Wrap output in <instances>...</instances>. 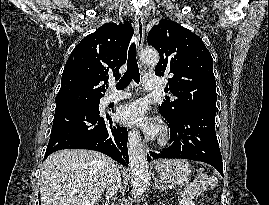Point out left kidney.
<instances>
[{"mask_svg":"<svg viewBox=\"0 0 269 205\" xmlns=\"http://www.w3.org/2000/svg\"><path fill=\"white\" fill-rule=\"evenodd\" d=\"M179 205H195V203L191 202V201H188V200H185V199H182L180 201Z\"/></svg>","mask_w":269,"mask_h":205,"instance_id":"left-kidney-1","label":"left kidney"}]
</instances>
